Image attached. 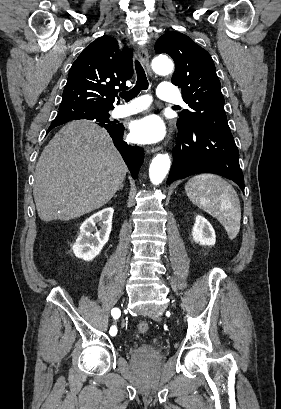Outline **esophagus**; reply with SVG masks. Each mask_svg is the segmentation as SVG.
I'll return each mask as SVG.
<instances>
[{
  "label": "esophagus",
  "mask_w": 281,
  "mask_h": 409,
  "mask_svg": "<svg viewBox=\"0 0 281 409\" xmlns=\"http://www.w3.org/2000/svg\"><path fill=\"white\" fill-rule=\"evenodd\" d=\"M137 55L140 58L141 62L144 64L146 67V70L149 75H152L151 68H150V63H149V55H148V50L145 45H140L137 47ZM160 150V147H147L146 151L151 153V152H157Z\"/></svg>",
  "instance_id": "34e87169"
}]
</instances>
